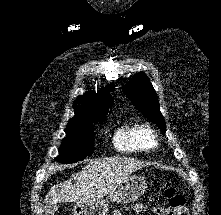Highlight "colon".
<instances>
[{"label": "colon", "mask_w": 221, "mask_h": 215, "mask_svg": "<svg viewBox=\"0 0 221 215\" xmlns=\"http://www.w3.org/2000/svg\"><path fill=\"white\" fill-rule=\"evenodd\" d=\"M161 189L168 201V206L156 207V215H188L185 198L182 194L167 182L163 183Z\"/></svg>", "instance_id": "obj_1"}]
</instances>
